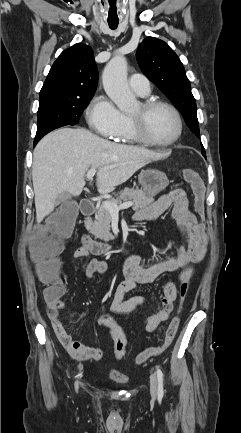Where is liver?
Returning a JSON list of instances; mask_svg holds the SVG:
<instances>
[{
  "mask_svg": "<svg viewBox=\"0 0 241 433\" xmlns=\"http://www.w3.org/2000/svg\"><path fill=\"white\" fill-rule=\"evenodd\" d=\"M163 157L145 148L112 143L84 128H61L49 133L33 153L37 223L53 212L60 193L81 194L89 169H98L97 190L108 194L136 171Z\"/></svg>",
  "mask_w": 241,
  "mask_h": 433,
  "instance_id": "1",
  "label": "liver"
}]
</instances>
